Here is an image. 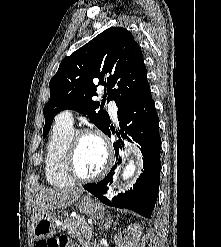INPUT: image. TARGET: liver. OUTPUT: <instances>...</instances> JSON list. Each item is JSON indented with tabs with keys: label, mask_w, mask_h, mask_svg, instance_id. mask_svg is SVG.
Returning <instances> with one entry per match:
<instances>
[{
	"label": "liver",
	"mask_w": 221,
	"mask_h": 247,
	"mask_svg": "<svg viewBox=\"0 0 221 247\" xmlns=\"http://www.w3.org/2000/svg\"><path fill=\"white\" fill-rule=\"evenodd\" d=\"M82 193V189H41L33 202V224L41 220L45 214L72 205L80 198Z\"/></svg>",
	"instance_id": "obj_1"
}]
</instances>
